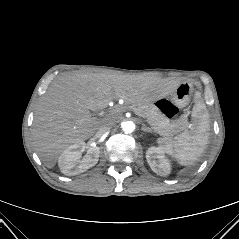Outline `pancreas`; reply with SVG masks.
<instances>
[{
    "label": "pancreas",
    "instance_id": "obj_1",
    "mask_svg": "<svg viewBox=\"0 0 239 239\" xmlns=\"http://www.w3.org/2000/svg\"><path fill=\"white\" fill-rule=\"evenodd\" d=\"M129 108L134 112L142 114L152 129L163 137L173 136L184 130L188 125L185 118L170 121L165 114L153 104H133L129 106Z\"/></svg>",
    "mask_w": 239,
    "mask_h": 239
}]
</instances>
